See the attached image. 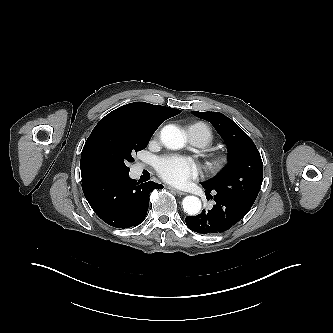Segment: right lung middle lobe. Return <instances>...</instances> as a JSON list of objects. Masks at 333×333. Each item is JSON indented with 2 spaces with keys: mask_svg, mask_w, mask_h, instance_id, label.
<instances>
[{
  "mask_svg": "<svg viewBox=\"0 0 333 333\" xmlns=\"http://www.w3.org/2000/svg\"><path fill=\"white\" fill-rule=\"evenodd\" d=\"M152 135L118 122L97 125L84 146L86 159L99 175L129 174L132 155L146 148Z\"/></svg>",
  "mask_w": 333,
  "mask_h": 333,
  "instance_id": "dd1d6c3e",
  "label": "right lung middle lobe"
}]
</instances>
